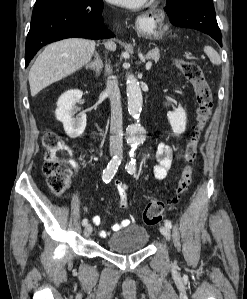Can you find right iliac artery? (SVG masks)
<instances>
[{
    "label": "right iliac artery",
    "mask_w": 247,
    "mask_h": 299,
    "mask_svg": "<svg viewBox=\"0 0 247 299\" xmlns=\"http://www.w3.org/2000/svg\"><path fill=\"white\" fill-rule=\"evenodd\" d=\"M121 163V159L115 156L107 165V168L103 171L102 179L105 183H109L111 179L114 177L117 169ZM88 224V220L85 218L82 220V225L86 226Z\"/></svg>",
    "instance_id": "82829eb1"
}]
</instances>
